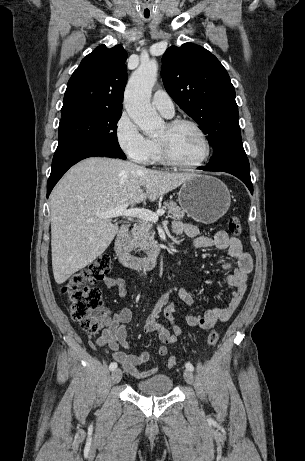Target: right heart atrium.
<instances>
[{"mask_svg":"<svg viewBox=\"0 0 305 461\" xmlns=\"http://www.w3.org/2000/svg\"><path fill=\"white\" fill-rule=\"evenodd\" d=\"M115 137L118 146L130 160L139 164L148 163L151 142L126 112L116 122Z\"/></svg>","mask_w":305,"mask_h":461,"instance_id":"obj_1","label":"right heart atrium"}]
</instances>
